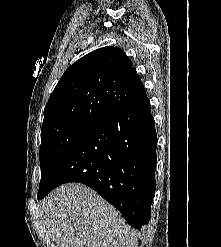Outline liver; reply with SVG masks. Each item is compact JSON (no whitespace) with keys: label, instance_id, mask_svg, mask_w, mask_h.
Masks as SVG:
<instances>
[{"label":"liver","instance_id":"6515ba94","mask_svg":"<svg viewBox=\"0 0 221 247\" xmlns=\"http://www.w3.org/2000/svg\"><path fill=\"white\" fill-rule=\"evenodd\" d=\"M40 213L56 247H138L136 232L87 186H61L42 201Z\"/></svg>","mask_w":221,"mask_h":247}]
</instances>
